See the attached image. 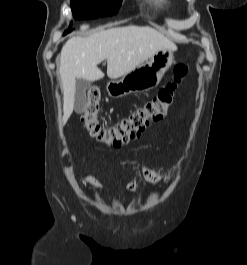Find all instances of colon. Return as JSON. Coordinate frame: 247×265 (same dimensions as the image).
<instances>
[{
    "mask_svg": "<svg viewBox=\"0 0 247 265\" xmlns=\"http://www.w3.org/2000/svg\"><path fill=\"white\" fill-rule=\"evenodd\" d=\"M187 73L186 65H177L174 69L173 79L162 87L154 98L110 127H104L100 123L99 113L102 100L99 90L90 89L87 92L86 104L81 116L83 129L96 142L115 148L136 139L152 123L160 121L166 116L173 103L176 90Z\"/></svg>",
    "mask_w": 247,
    "mask_h": 265,
    "instance_id": "obj_1",
    "label": "colon"
}]
</instances>
